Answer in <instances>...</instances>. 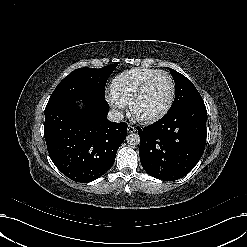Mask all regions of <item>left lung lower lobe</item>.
Returning <instances> with one entry per match:
<instances>
[{"instance_id":"0a47b994","label":"left lung lower lobe","mask_w":247,"mask_h":247,"mask_svg":"<svg viewBox=\"0 0 247 247\" xmlns=\"http://www.w3.org/2000/svg\"><path fill=\"white\" fill-rule=\"evenodd\" d=\"M206 119L207 110L200 97L138 129L140 162L144 170L164 181L187 175L204 152Z\"/></svg>"}]
</instances>
